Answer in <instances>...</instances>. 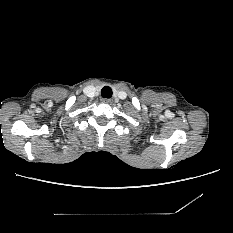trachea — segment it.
<instances>
[{
    "instance_id": "trachea-1",
    "label": "trachea",
    "mask_w": 233,
    "mask_h": 233,
    "mask_svg": "<svg viewBox=\"0 0 233 233\" xmlns=\"http://www.w3.org/2000/svg\"><path fill=\"white\" fill-rule=\"evenodd\" d=\"M112 89L109 86H105L101 90V96L103 98H111L112 97Z\"/></svg>"
}]
</instances>
